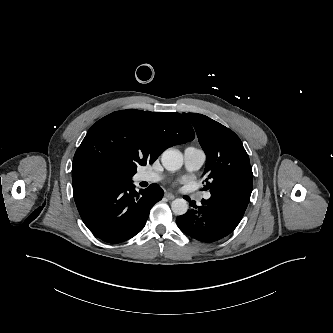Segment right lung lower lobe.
I'll list each match as a JSON object with an SVG mask.
<instances>
[{"instance_id":"obj_1","label":"right lung lower lobe","mask_w":333,"mask_h":333,"mask_svg":"<svg viewBox=\"0 0 333 333\" xmlns=\"http://www.w3.org/2000/svg\"><path fill=\"white\" fill-rule=\"evenodd\" d=\"M73 195L87 228L101 240L115 244L144 228L163 190L154 184L137 192L131 182L85 177L73 182Z\"/></svg>"}]
</instances>
